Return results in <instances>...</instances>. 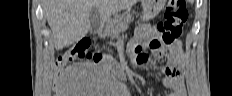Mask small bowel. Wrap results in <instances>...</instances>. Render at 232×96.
<instances>
[{"instance_id": "obj_1", "label": "small bowel", "mask_w": 232, "mask_h": 96, "mask_svg": "<svg viewBox=\"0 0 232 96\" xmlns=\"http://www.w3.org/2000/svg\"><path fill=\"white\" fill-rule=\"evenodd\" d=\"M155 34L154 28L148 24L140 25L135 32V36L130 41V48L135 49V47L150 45ZM175 57L173 64L167 67L162 74L156 75L161 78L162 83L171 89L172 96H185V85L184 77L181 73V69L184 66V55L182 53L181 43L176 41L174 43ZM150 75H152L150 73ZM135 85V82H133ZM132 96H139V93H132Z\"/></svg>"}]
</instances>
